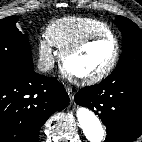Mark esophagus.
<instances>
[{
    "mask_svg": "<svg viewBox=\"0 0 142 142\" xmlns=\"http://www.w3.org/2000/svg\"><path fill=\"white\" fill-rule=\"evenodd\" d=\"M67 94L71 101L74 100V91L70 87H66Z\"/></svg>",
    "mask_w": 142,
    "mask_h": 142,
    "instance_id": "esophagus-1",
    "label": "esophagus"
}]
</instances>
